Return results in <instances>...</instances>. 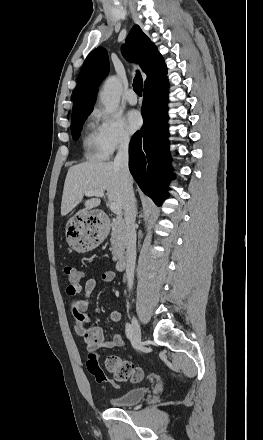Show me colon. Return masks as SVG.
I'll return each instance as SVG.
<instances>
[{"mask_svg":"<svg viewBox=\"0 0 263 440\" xmlns=\"http://www.w3.org/2000/svg\"><path fill=\"white\" fill-rule=\"evenodd\" d=\"M63 273L70 288L80 287L85 278L83 269L75 265H65L63 267ZM105 364L107 370L112 374L115 381L139 382L142 380V370L130 361L123 360L117 356H108ZM87 367L97 383H111V380L100 368L94 354H91L87 362Z\"/></svg>","mask_w":263,"mask_h":440,"instance_id":"obj_1","label":"colon"}]
</instances>
